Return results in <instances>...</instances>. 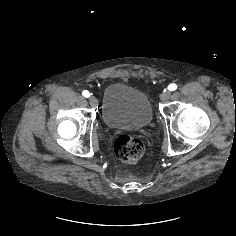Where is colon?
<instances>
[{
	"instance_id": "5ec220e1",
	"label": "colon",
	"mask_w": 236,
	"mask_h": 236,
	"mask_svg": "<svg viewBox=\"0 0 236 236\" xmlns=\"http://www.w3.org/2000/svg\"><path fill=\"white\" fill-rule=\"evenodd\" d=\"M114 150L121 161L133 164L143 157L145 153V144L138 136L122 134L115 140Z\"/></svg>"
}]
</instances>
